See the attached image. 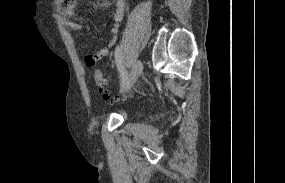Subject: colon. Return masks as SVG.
<instances>
[{"mask_svg":"<svg viewBox=\"0 0 285 183\" xmlns=\"http://www.w3.org/2000/svg\"><path fill=\"white\" fill-rule=\"evenodd\" d=\"M94 84L97 91L103 96L105 100H113L112 95L108 89V81L103 72L97 70L93 75Z\"/></svg>","mask_w":285,"mask_h":183,"instance_id":"colon-1","label":"colon"}]
</instances>
